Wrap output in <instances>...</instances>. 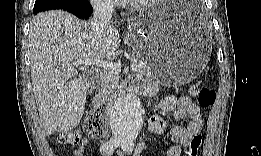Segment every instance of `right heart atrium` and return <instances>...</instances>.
Returning <instances> with one entry per match:
<instances>
[{"label": "right heart atrium", "instance_id": "right-heart-atrium-1", "mask_svg": "<svg viewBox=\"0 0 261 156\" xmlns=\"http://www.w3.org/2000/svg\"><path fill=\"white\" fill-rule=\"evenodd\" d=\"M111 4H112L111 2H108V3L99 4V5H103L104 7H110Z\"/></svg>", "mask_w": 261, "mask_h": 156}]
</instances>
